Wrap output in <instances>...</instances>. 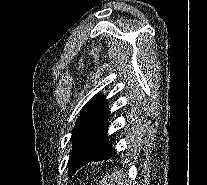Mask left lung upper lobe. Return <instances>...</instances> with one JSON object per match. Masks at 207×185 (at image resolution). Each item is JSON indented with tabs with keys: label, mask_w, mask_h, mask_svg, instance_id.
<instances>
[{
	"label": "left lung upper lobe",
	"mask_w": 207,
	"mask_h": 185,
	"mask_svg": "<svg viewBox=\"0 0 207 185\" xmlns=\"http://www.w3.org/2000/svg\"><path fill=\"white\" fill-rule=\"evenodd\" d=\"M109 113L108 102L101 95H95L83 107L72 131L73 146L69 169L84 155L101 153L108 148Z\"/></svg>",
	"instance_id": "left-lung-upper-lobe-1"
}]
</instances>
